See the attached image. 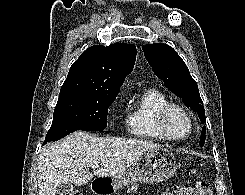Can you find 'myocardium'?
Instances as JSON below:
<instances>
[{
    "label": "myocardium",
    "instance_id": "1",
    "mask_svg": "<svg viewBox=\"0 0 245 195\" xmlns=\"http://www.w3.org/2000/svg\"><path fill=\"white\" fill-rule=\"evenodd\" d=\"M174 110L181 112L187 118V120L189 122V131L185 136H182V137L173 136L170 134V132L167 129L166 119H167L169 113L171 111H174ZM155 126H156L158 132L160 133V135L165 140L172 141V142H181V141H184L187 138H189L191 136V134L193 133L194 120H193L190 112L185 107H183L179 104H175V103H168V104L162 106L157 111L156 117H155Z\"/></svg>",
    "mask_w": 245,
    "mask_h": 195
}]
</instances>
